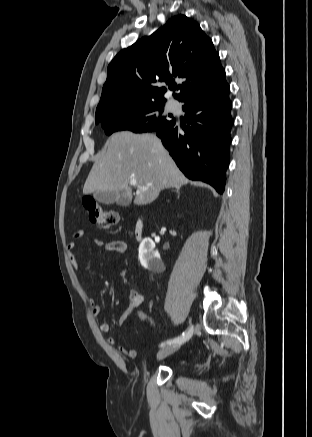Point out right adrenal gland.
<instances>
[{
	"instance_id": "2a0ac1e0",
	"label": "right adrenal gland",
	"mask_w": 312,
	"mask_h": 437,
	"mask_svg": "<svg viewBox=\"0 0 312 437\" xmlns=\"http://www.w3.org/2000/svg\"><path fill=\"white\" fill-rule=\"evenodd\" d=\"M175 190H176L177 194H179L180 187H176Z\"/></svg>"
}]
</instances>
